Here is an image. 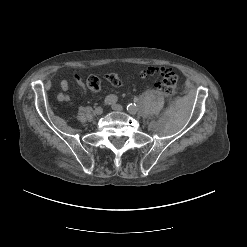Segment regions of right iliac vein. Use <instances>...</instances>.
Instances as JSON below:
<instances>
[{
    "label": "right iliac vein",
    "mask_w": 247,
    "mask_h": 247,
    "mask_svg": "<svg viewBox=\"0 0 247 247\" xmlns=\"http://www.w3.org/2000/svg\"><path fill=\"white\" fill-rule=\"evenodd\" d=\"M102 113H103V108L102 107L95 108L94 114L101 115Z\"/></svg>",
    "instance_id": "right-iliac-vein-1"
}]
</instances>
